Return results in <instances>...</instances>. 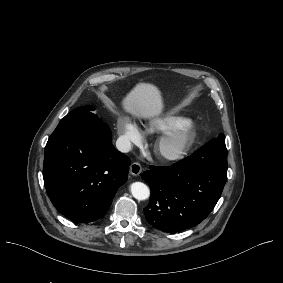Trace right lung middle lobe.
I'll use <instances>...</instances> for the list:
<instances>
[{
	"mask_svg": "<svg viewBox=\"0 0 283 283\" xmlns=\"http://www.w3.org/2000/svg\"><path fill=\"white\" fill-rule=\"evenodd\" d=\"M93 110H95V108L92 106L76 108L67 114L59 124L80 123L96 127L106 125L96 114L91 112Z\"/></svg>",
	"mask_w": 283,
	"mask_h": 283,
	"instance_id": "dd1d6c3e",
	"label": "right lung middle lobe"
}]
</instances>
